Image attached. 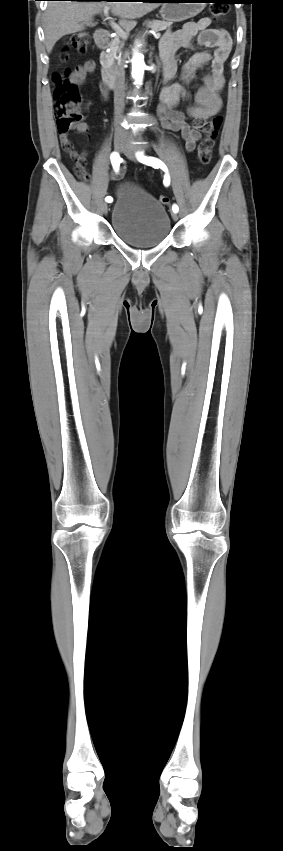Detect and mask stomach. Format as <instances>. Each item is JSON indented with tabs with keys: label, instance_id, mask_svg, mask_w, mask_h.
<instances>
[{
	"label": "stomach",
	"instance_id": "stomach-1",
	"mask_svg": "<svg viewBox=\"0 0 283 851\" xmlns=\"http://www.w3.org/2000/svg\"><path fill=\"white\" fill-rule=\"evenodd\" d=\"M204 0H168L161 7L160 14L167 22H179L196 16L204 7Z\"/></svg>",
	"mask_w": 283,
	"mask_h": 851
}]
</instances>
